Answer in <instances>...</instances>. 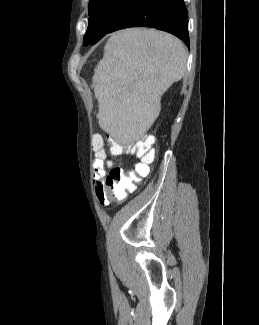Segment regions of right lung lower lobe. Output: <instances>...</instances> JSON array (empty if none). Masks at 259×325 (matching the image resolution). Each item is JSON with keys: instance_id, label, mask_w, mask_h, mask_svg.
<instances>
[{"instance_id": "98d812e1", "label": "right lung lower lobe", "mask_w": 259, "mask_h": 325, "mask_svg": "<svg viewBox=\"0 0 259 325\" xmlns=\"http://www.w3.org/2000/svg\"><path fill=\"white\" fill-rule=\"evenodd\" d=\"M137 26L169 32L189 46L188 12L183 0H130L108 33Z\"/></svg>"}]
</instances>
